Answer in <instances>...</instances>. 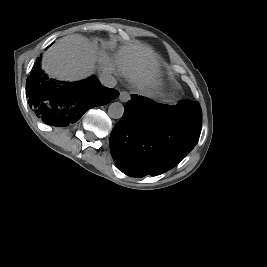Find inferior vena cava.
<instances>
[{"instance_id": "1", "label": "inferior vena cava", "mask_w": 267, "mask_h": 267, "mask_svg": "<svg viewBox=\"0 0 267 267\" xmlns=\"http://www.w3.org/2000/svg\"><path fill=\"white\" fill-rule=\"evenodd\" d=\"M99 80L103 86L108 88H113L117 84L115 77L107 72H102L99 76Z\"/></svg>"}]
</instances>
